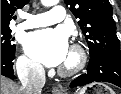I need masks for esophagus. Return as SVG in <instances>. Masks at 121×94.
<instances>
[{
	"label": "esophagus",
	"instance_id": "34e87169",
	"mask_svg": "<svg viewBox=\"0 0 121 94\" xmlns=\"http://www.w3.org/2000/svg\"><path fill=\"white\" fill-rule=\"evenodd\" d=\"M52 93L53 94H65L64 90L59 88V87H53L52 88Z\"/></svg>",
	"mask_w": 121,
	"mask_h": 94
}]
</instances>
